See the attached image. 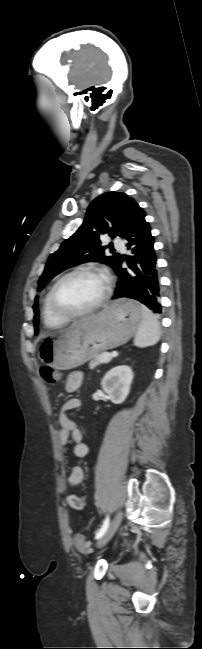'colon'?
Returning <instances> with one entry per match:
<instances>
[{"label": "colon", "instance_id": "1", "mask_svg": "<svg viewBox=\"0 0 202 649\" xmlns=\"http://www.w3.org/2000/svg\"><path fill=\"white\" fill-rule=\"evenodd\" d=\"M40 373L42 378L49 384H55L60 380L59 372L50 366H42ZM74 543L79 552L83 554H89L91 552L89 542L82 535L77 534L74 538Z\"/></svg>", "mask_w": 202, "mask_h": 649}]
</instances>
